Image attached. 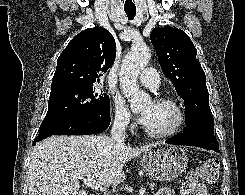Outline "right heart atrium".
Listing matches in <instances>:
<instances>
[{"label":"right heart atrium","mask_w":245,"mask_h":195,"mask_svg":"<svg viewBox=\"0 0 245 195\" xmlns=\"http://www.w3.org/2000/svg\"><path fill=\"white\" fill-rule=\"evenodd\" d=\"M112 121L116 127L122 130L131 129L135 125V120L124 100L115 96L112 101Z\"/></svg>","instance_id":"d8ad5b80"}]
</instances>
